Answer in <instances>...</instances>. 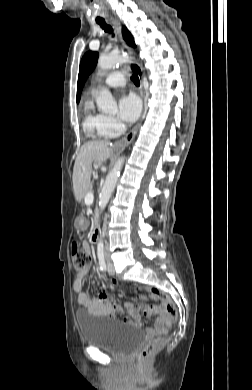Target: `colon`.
Instances as JSON below:
<instances>
[{"instance_id":"1","label":"colon","mask_w":252,"mask_h":390,"mask_svg":"<svg viewBox=\"0 0 252 390\" xmlns=\"http://www.w3.org/2000/svg\"><path fill=\"white\" fill-rule=\"evenodd\" d=\"M71 259L73 268L77 273L86 270V268L91 263L90 254L76 242L72 244ZM149 293L153 298L159 299L163 302L169 319L171 321H176L178 312L174 302L170 299V297L156 288H151ZM163 343L164 339L162 337H158L145 344L139 351V360L141 362L149 361L153 354L162 347Z\"/></svg>"}]
</instances>
